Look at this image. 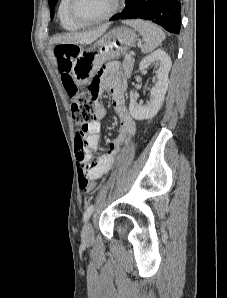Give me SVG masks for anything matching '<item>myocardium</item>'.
<instances>
[{
    "label": "myocardium",
    "mask_w": 227,
    "mask_h": 298,
    "mask_svg": "<svg viewBox=\"0 0 227 298\" xmlns=\"http://www.w3.org/2000/svg\"><path fill=\"white\" fill-rule=\"evenodd\" d=\"M120 1L121 0H113V5H112L111 9L105 15H103L97 19H94V20H84V19L79 18L74 12L75 0H69L68 9H67L68 15L73 22H75L76 24H79L81 26H90V25L99 24V23L109 20L117 13V11L120 8Z\"/></svg>",
    "instance_id": "1"
}]
</instances>
